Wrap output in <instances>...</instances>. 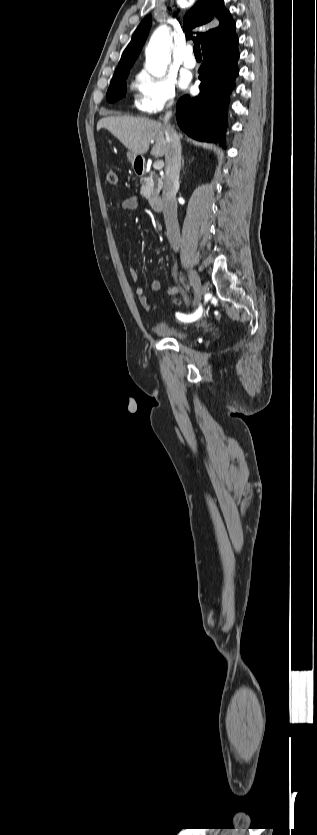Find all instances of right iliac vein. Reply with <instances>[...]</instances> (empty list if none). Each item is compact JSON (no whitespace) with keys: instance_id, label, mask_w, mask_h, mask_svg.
I'll return each instance as SVG.
<instances>
[{"instance_id":"1","label":"right iliac vein","mask_w":317,"mask_h":835,"mask_svg":"<svg viewBox=\"0 0 317 835\" xmlns=\"http://www.w3.org/2000/svg\"><path fill=\"white\" fill-rule=\"evenodd\" d=\"M189 277H190L191 284H192L193 289H194L195 294H196V299L194 300V302H196L202 296V294L204 293V288L201 285V281H200L199 276L197 275V273L193 269H191L189 271Z\"/></svg>"}]
</instances>
